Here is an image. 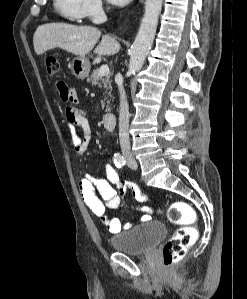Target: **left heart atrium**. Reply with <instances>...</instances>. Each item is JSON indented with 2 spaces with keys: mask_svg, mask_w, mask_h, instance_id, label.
Returning <instances> with one entry per match:
<instances>
[{
  "mask_svg": "<svg viewBox=\"0 0 247 299\" xmlns=\"http://www.w3.org/2000/svg\"><path fill=\"white\" fill-rule=\"evenodd\" d=\"M111 4L116 6H124L128 4L131 0H108Z\"/></svg>",
  "mask_w": 247,
  "mask_h": 299,
  "instance_id": "1",
  "label": "left heart atrium"
}]
</instances>
